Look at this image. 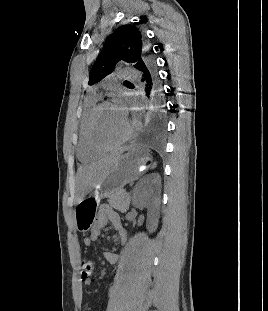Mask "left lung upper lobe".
<instances>
[{
	"label": "left lung upper lobe",
	"mask_w": 268,
	"mask_h": 311,
	"mask_svg": "<svg viewBox=\"0 0 268 311\" xmlns=\"http://www.w3.org/2000/svg\"><path fill=\"white\" fill-rule=\"evenodd\" d=\"M142 49L143 36L137 27L132 25L118 27L105 41L91 70L89 85H93L112 73L116 64L121 60L132 63L137 69L146 55Z\"/></svg>",
	"instance_id": "left-lung-upper-lobe-1"
}]
</instances>
